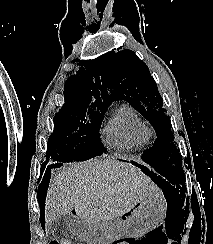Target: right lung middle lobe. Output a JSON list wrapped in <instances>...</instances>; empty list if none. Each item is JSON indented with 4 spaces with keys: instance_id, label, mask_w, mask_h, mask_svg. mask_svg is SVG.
<instances>
[{
    "instance_id": "dd1d6c3e",
    "label": "right lung middle lobe",
    "mask_w": 213,
    "mask_h": 244,
    "mask_svg": "<svg viewBox=\"0 0 213 244\" xmlns=\"http://www.w3.org/2000/svg\"><path fill=\"white\" fill-rule=\"evenodd\" d=\"M105 110L85 107L60 109L54 117V131L48 140L46 158L53 162L87 160L103 154L99 127Z\"/></svg>"
}]
</instances>
